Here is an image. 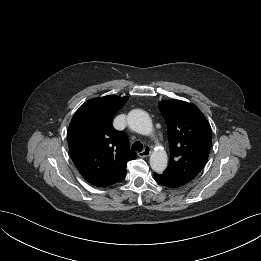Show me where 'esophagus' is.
Here are the masks:
<instances>
[{"instance_id": "1", "label": "esophagus", "mask_w": 261, "mask_h": 261, "mask_svg": "<svg viewBox=\"0 0 261 261\" xmlns=\"http://www.w3.org/2000/svg\"><path fill=\"white\" fill-rule=\"evenodd\" d=\"M150 153H151V148L146 146L143 151L138 153V156L144 158V157H148Z\"/></svg>"}]
</instances>
